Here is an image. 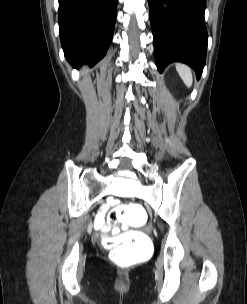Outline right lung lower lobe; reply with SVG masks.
<instances>
[{
  "label": "right lung lower lobe",
  "mask_w": 247,
  "mask_h": 304,
  "mask_svg": "<svg viewBox=\"0 0 247 304\" xmlns=\"http://www.w3.org/2000/svg\"><path fill=\"white\" fill-rule=\"evenodd\" d=\"M61 45L73 66L94 65L113 37L117 0H58Z\"/></svg>",
  "instance_id": "right-lung-lower-lobe-1"
}]
</instances>
